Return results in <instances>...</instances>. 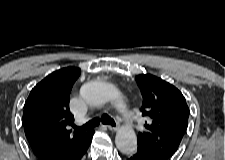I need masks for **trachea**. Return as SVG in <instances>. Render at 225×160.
<instances>
[{"instance_id": "obj_1", "label": "trachea", "mask_w": 225, "mask_h": 160, "mask_svg": "<svg viewBox=\"0 0 225 160\" xmlns=\"http://www.w3.org/2000/svg\"><path fill=\"white\" fill-rule=\"evenodd\" d=\"M100 121L103 124L115 126L114 120L110 116H108L107 114H103L100 120L95 118V119L87 122L82 127H76V130H78L80 132H85V131L90 130V129L94 128L95 126H97L100 123Z\"/></svg>"}]
</instances>
